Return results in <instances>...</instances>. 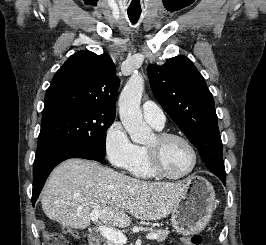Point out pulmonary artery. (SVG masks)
Wrapping results in <instances>:
<instances>
[{
  "label": "pulmonary artery",
  "mask_w": 266,
  "mask_h": 245,
  "mask_svg": "<svg viewBox=\"0 0 266 245\" xmlns=\"http://www.w3.org/2000/svg\"><path fill=\"white\" fill-rule=\"evenodd\" d=\"M141 109L147 122L156 128H162L164 126L166 121L165 114L159 106L152 105V100H143Z\"/></svg>",
  "instance_id": "1"
}]
</instances>
